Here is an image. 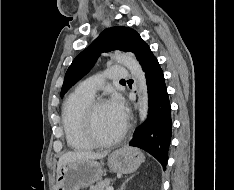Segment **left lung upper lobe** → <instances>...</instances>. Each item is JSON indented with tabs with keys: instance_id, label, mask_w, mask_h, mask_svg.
Listing matches in <instances>:
<instances>
[{
	"instance_id": "obj_1",
	"label": "left lung upper lobe",
	"mask_w": 234,
	"mask_h": 190,
	"mask_svg": "<svg viewBox=\"0 0 234 190\" xmlns=\"http://www.w3.org/2000/svg\"><path fill=\"white\" fill-rule=\"evenodd\" d=\"M146 44L140 35L129 27H111L91 43V45L76 56L69 66L61 89V97L80 80L95 64L102 52L121 50L135 55Z\"/></svg>"
}]
</instances>
